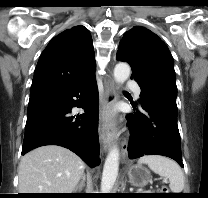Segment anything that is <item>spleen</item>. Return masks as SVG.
<instances>
[{
    "instance_id": "3e777b00",
    "label": "spleen",
    "mask_w": 208,
    "mask_h": 198,
    "mask_svg": "<svg viewBox=\"0 0 208 198\" xmlns=\"http://www.w3.org/2000/svg\"><path fill=\"white\" fill-rule=\"evenodd\" d=\"M138 164H146L154 173L169 179L172 193H181L184 189V174L173 160L159 155H148L141 157Z\"/></svg>"
}]
</instances>
